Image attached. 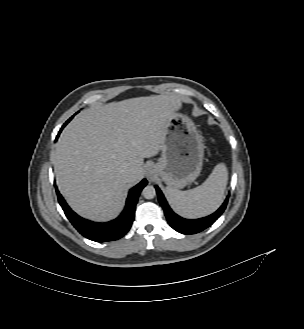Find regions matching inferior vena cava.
I'll use <instances>...</instances> for the list:
<instances>
[{"label":"inferior vena cava","mask_w":304,"mask_h":329,"mask_svg":"<svg viewBox=\"0 0 304 329\" xmlns=\"http://www.w3.org/2000/svg\"><path fill=\"white\" fill-rule=\"evenodd\" d=\"M120 173H121V175L124 179H127L129 177L130 173H131V170L128 169V168H122L120 170Z\"/></svg>","instance_id":"1"}]
</instances>
